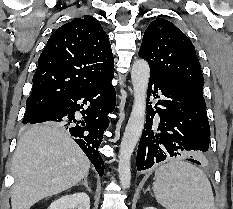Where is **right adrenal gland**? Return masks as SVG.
<instances>
[{
	"label": "right adrenal gland",
	"instance_id": "1",
	"mask_svg": "<svg viewBox=\"0 0 233 209\" xmlns=\"http://www.w3.org/2000/svg\"><path fill=\"white\" fill-rule=\"evenodd\" d=\"M87 178H88V174L84 177L83 182L77 184V186H79V185H84V186L87 188L88 192L90 193V192H91V188H90V186L88 185Z\"/></svg>",
	"mask_w": 233,
	"mask_h": 209
}]
</instances>
